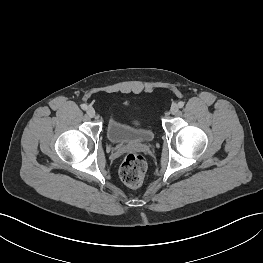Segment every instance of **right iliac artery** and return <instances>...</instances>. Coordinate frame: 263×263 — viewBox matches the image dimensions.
<instances>
[{"instance_id":"82829eb1","label":"right iliac artery","mask_w":263,"mask_h":263,"mask_svg":"<svg viewBox=\"0 0 263 263\" xmlns=\"http://www.w3.org/2000/svg\"><path fill=\"white\" fill-rule=\"evenodd\" d=\"M81 108H82L83 110H86V109L88 108V106H87L86 104H82V105H81Z\"/></svg>"}]
</instances>
